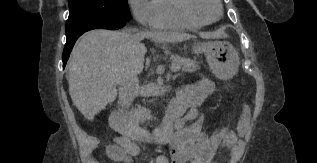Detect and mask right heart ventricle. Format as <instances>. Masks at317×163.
<instances>
[{
	"label": "right heart ventricle",
	"instance_id": "1",
	"mask_svg": "<svg viewBox=\"0 0 317 163\" xmlns=\"http://www.w3.org/2000/svg\"><path fill=\"white\" fill-rule=\"evenodd\" d=\"M155 18L151 25L154 29H197L201 25L181 18L176 9V0H154Z\"/></svg>",
	"mask_w": 317,
	"mask_h": 163
}]
</instances>
